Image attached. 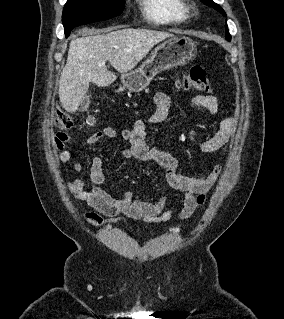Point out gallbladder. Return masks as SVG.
<instances>
[{
    "mask_svg": "<svg viewBox=\"0 0 284 319\" xmlns=\"http://www.w3.org/2000/svg\"><path fill=\"white\" fill-rule=\"evenodd\" d=\"M88 104H89V99H86V100L84 101V105H85V106H88Z\"/></svg>",
    "mask_w": 284,
    "mask_h": 319,
    "instance_id": "bac80fb5",
    "label": "gallbladder"
}]
</instances>
